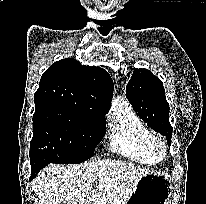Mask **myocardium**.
<instances>
[{
	"label": "myocardium",
	"instance_id": "myocardium-1",
	"mask_svg": "<svg viewBox=\"0 0 206 204\" xmlns=\"http://www.w3.org/2000/svg\"><path fill=\"white\" fill-rule=\"evenodd\" d=\"M151 153L158 161L163 160L167 156L166 143L159 138H154L151 142Z\"/></svg>",
	"mask_w": 206,
	"mask_h": 204
}]
</instances>
